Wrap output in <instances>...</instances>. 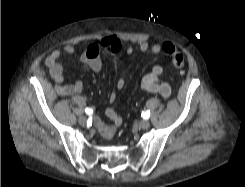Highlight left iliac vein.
<instances>
[{"label":"left iliac vein","mask_w":245,"mask_h":187,"mask_svg":"<svg viewBox=\"0 0 245 187\" xmlns=\"http://www.w3.org/2000/svg\"><path fill=\"white\" fill-rule=\"evenodd\" d=\"M138 125L142 129H147L150 126V122L148 120H142L138 123Z\"/></svg>","instance_id":"4c4485c4"}]
</instances>
